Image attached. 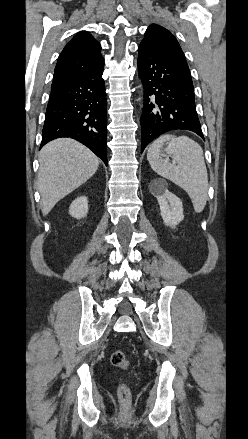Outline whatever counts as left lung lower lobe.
<instances>
[{
    "label": "left lung lower lobe",
    "instance_id": "1",
    "mask_svg": "<svg viewBox=\"0 0 248 439\" xmlns=\"http://www.w3.org/2000/svg\"><path fill=\"white\" fill-rule=\"evenodd\" d=\"M138 50V72L144 88L141 153L151 141L171 130H190L204 139L187 63L144 44Z\"/></svg>",
    "mask_w": 248,
    "mask_h": 439
}]
</instances>
